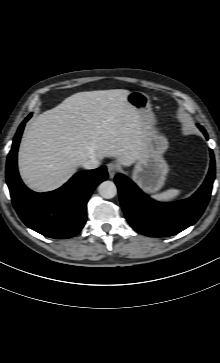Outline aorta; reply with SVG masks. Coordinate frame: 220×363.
Listing matches in <instances>:
<instances>
[{"label": "aorta", "instance_id": "aorta-1", "mask_svg": "<svg viewBox=\"0 0 220 363\" xmlns=\"http://www.w3.org/2000/svg\"><path fill=\"white\" fill-rule=\"evenodd\" d=\"M98 192L101 197L111 199L117 194V187L112 181H104L98 186Z\"/></svg>", "mask_w": 220, "mask_h": 363}]
</instances>
